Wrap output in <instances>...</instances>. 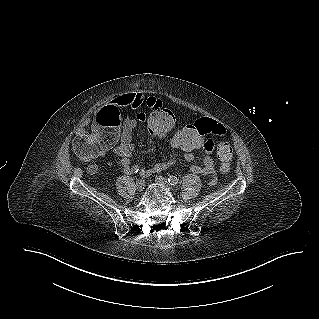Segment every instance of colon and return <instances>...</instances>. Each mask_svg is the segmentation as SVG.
<instances>
[{
  "label": "colon",
  "instance_id": "5ec220e1",
  "mask_svg": "<svg viewBox=\"0 0 319 319\" xmlns=\"http://www.w3.org/2000/svg\"><path fill=\"white\" fill-rule=\"evenodd\" d=\"M176 113L171 109L170 113H154L150 109L146 115V122L153 137L171 151H182L185 154L202 151L204 142L220 130L222 136L217 141H222L227 136V131L214 120L205 116H198L194 125L178 128ZM204 134V135H202ZM73 150L83 161L90 162L95 159L100 150L91 145L89 137H77L73 141ZM217 157L222 163L221 170L228 172L233 158L232 147L227 142H220L217 146Z\"/></svg>",
  "mask_w": 319,
  "mask_h": 319
}]
</instances>
